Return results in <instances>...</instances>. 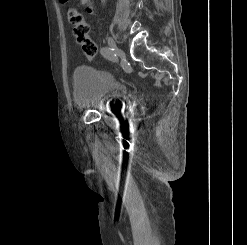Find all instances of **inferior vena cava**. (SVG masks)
Here are the masks:
<instances>
[{
    "label": "inferior vena cava",
    "instance_id": "602c4592",
    "mask_svg": "<svg viewBox=\"0 0 247 245\" xmlns=\"http://www.w3.org/2000/svg\"><path fill=\"white\" fill-rule=\"evenodd\" d=\"M102 3H105V0H102Z\"/></svg>",
    "mask_w": 247,
    "mask_h": 245
}]
</instances>
